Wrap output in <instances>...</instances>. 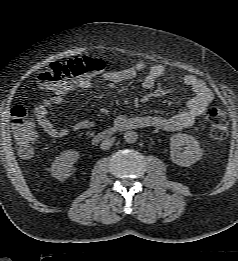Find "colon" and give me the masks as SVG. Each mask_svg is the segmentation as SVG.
Returning <instances> with one entry per match:
<instances>
[{
    "instance_id": "1",
    "label": "colon",
    "mask_w": 238,
    "mask_h": 261,
    "mask_svg": "<svg viewBox=\"0 0 238 261\" xmlns=\"http://www.w3.org/2000/svg\"><path fill=\"white\" fill-rule=\"evenodd\" d=\"M105 67L104 61L90 56L70 59L66 62H54L38 75L39 84L53 92H65L77 79L100 73ZM12 130L21 157L32 156L39 141V132L28 117L23 106L17 105L11 111ZM212 135L219 140L227 136V116L220 106H213L208 112Z\"/></svg>"
}]
</instances>
